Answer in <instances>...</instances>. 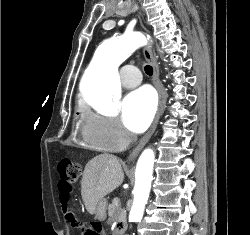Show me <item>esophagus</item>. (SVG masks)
I'll return each instance as SVG.
<instances>
[{
	"label": "esophagus",
	"mask_w": 250,
	"mask_h": 235,
	"mask_svg": "<svg viewBox=\"0 0 250 235\" xmlns=\"http://www.w3.org/2000/svg\"><path fill=\"white\" fill-rule=\"evenodd\" d=\"M143 54L145 56V59L153 67V72H154V74H153V83H154V85H155V87L157 89L158 95H159V103H158V108H157L155 118H154L149 130L140 139L138 144L135 146V148L129 154L128 161L134 160L138 156L140 151L143 149V147L146 145V143L149 141L150 137L152 136V134L154 133V131H155L156 127H157V124L159 122V119H160V116L162 114L163 107H164V104H165V101H166L165 93H164V90H163L161 82H160L159 67H158L156 59L153 56V53H152L150 47L145 46L143 48Z\"/></svg>",
	"instance_id": "34e87169"
}]
</instances>
